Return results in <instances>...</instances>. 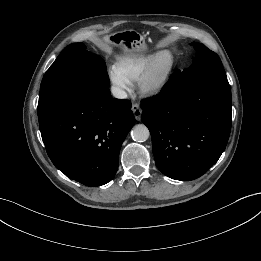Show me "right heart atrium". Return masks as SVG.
Masks as SVG:
<instances>
[{"mask_svg": "<svg viewBox=\"0 0 261 261\" xmlns=\"http://www.w3.org/2000/svg\"><path fill=\"white\" fill-rule=\"evenodd\" d=\"M108 76L109 79L114 87V89L118 92V93H124L125 91H127L130 87V83L125 80L115 69L114 66L110 67L108 70Z\"/></svg>", "mask_w": 261, "mask_h": 261, "instance_id": "right-heart-atrium-1", "label": "right heart atrium"}]
</instances>
